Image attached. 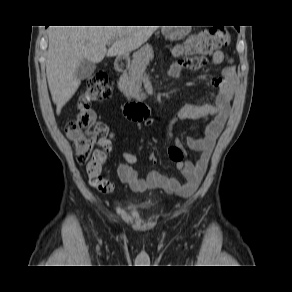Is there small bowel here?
Here are the masks:
<instances>
[{"label":"small bowel","mask_w":292,"mask_h":292,"mask_svg":"<svg viewBox=\"0 0 292 292\" xmlns=\"http://www.w3.org/2000/svg\"><path fill=\"white\" fill-rule=\"evenodd\" d=\"M227 61L229 64L222 70L221 77L212 79L211 83L217 88V94L212 103L185 104L178 112V119H208L201 136L188 138L187 147L198 153L195 162L182 161L176 163V167L181 171L184 181L165 175L159 171H150L145 177H141L139 172L132 166L137 162L136 155L123 152V162L117 167L119 179L126 183L134 191H144L147 189H163L179 196H191L198 188L203 175L206 172L210 154L215 142L222 132L230 114V104L236 85V71L229 59L221 50H217L212 56V62L219 65ZM207 59L203 56L184 57L175 61L168 69L170 77H178L182 70L191 68L199 70L205 66ZM166 134H171V124L166 129ZM109 141V134H105L99 139L97 144L102 146Z\"/></svg>","instance_id":"obj_1"}]
</instances>
